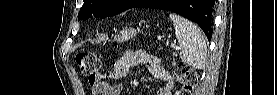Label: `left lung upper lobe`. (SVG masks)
I'll return each instance as SVG.
<instances>
[{
    "label": "left lung upper lobe",
    "instance_id": "left-lung-upper-lobe-1",
    "mask_svg": "<svg viewBox=\"0 0 277 95\" xmlns=\"http://www.w3.org/2000/svg\"><path fill=\"white\" fill-rule=\"evenodd\" d=\"M141 0H84L78 19H86L94 15L99 18H106L117 15L127 9L135 7ZM175 0H160L162 8L171 6Z\"/></svg>",
    "mask_w": 277,
    "mask_h": 95
}]
</instances>
